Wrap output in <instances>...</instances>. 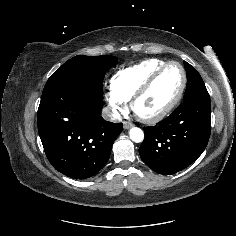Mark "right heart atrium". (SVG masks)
<instances>
[{"label":"right heart atrium","mask_w":236,"mask_h":236,"mask_svg":"<svg viewBox=\"0 0 236 236\" xmlns=\"http://www.w3.org/2000/svg\"><path fill=\"white\" fill-rule=\"evenodd\" d=\"M108 106L114 116H119L126 109V101L118 97L112 90L105 94Z\"/></svg>","instance_id":"1"}]
</instances>
